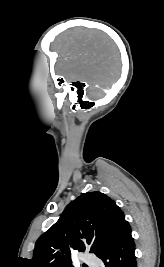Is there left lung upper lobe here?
I'll return each instance as SVG.
<instances>
[{
  "label": "left lung upper lobe",
  "instance_id": "5c2ea615",
  "mask_svg": "<svg viewBox=\"0 0 164 267\" xmlns=\"http://www.w3.org/2000/svg\"><path fill=\"white\" fill-rule=\"evenodd\" d=\"M125 222L124 213L107 195L84 193L69 203L59 220L38 238L30 265L73 267L74 250L89 249L98 255Z\"/></svg>",
  "mask_w": 164,
  "mask_h": 267
}]
</instances>
